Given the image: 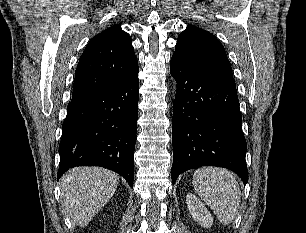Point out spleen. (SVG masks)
Returning a JSON list of instances; mask_svg holds the SVG:
<instances>
[{"label": "spleen", "mask_w": 306, "mask_h": 233, "mask_svg": "<svg viewBox=\"0 0 306 233\" xmlns=\"http://www.w3.org/2000/svg\"><path fill=\"white\" fill-rule=\"evenodd\" d=\"M192 184L223 225L233 222L238 213L241 192L231 172L217 167L199 168L193 174Z\"/></svg>", "instance_id": "spleen-1"}]
</instances>
